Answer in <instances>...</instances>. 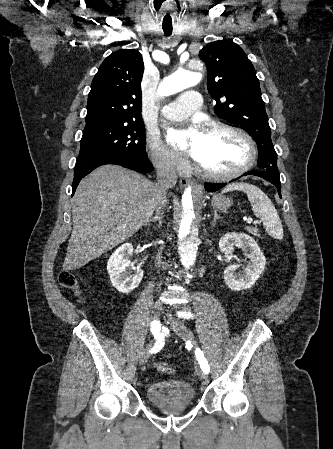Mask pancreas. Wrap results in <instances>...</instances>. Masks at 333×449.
<instances>
[{
	"instance_id": "1",
	"label": "pancreas",
	"mask_w": 333,
	"mask_h": 449,
	"mask_svg": "<svg viewBox=\"0 0 333 449\" xmlns=\"http://www.w3.org/2000/svg\"><path fill=\"white\" fill-rule=\"evenodd\" d=\"M248 231L253 234L254 236H260L259 230L257 228H248Z\"/></svg>"
}]
</instances>
